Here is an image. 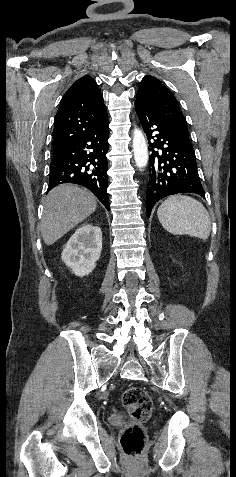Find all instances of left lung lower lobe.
Masks as SVG:
<instances>
[{"label":"left lung lower lobe","mask_w":236,"mask_h":477,"mask_svg":"<svg viewBox=\"0 0 236 477\" xmlns=\"http://www.w3.org/2000/svg\"><path fill=\"white\" fill-rule=\"evenodd\" d=\"M135 109L151 150L146 197L148 217L155 203L166 196L190 192L205 198L193 146L181 139L142 102L136 101ZM154 138L157 139L151 142Z\"/></svg>","instance_id":"left-lung-lower-lobe-1"}]
</instances>
